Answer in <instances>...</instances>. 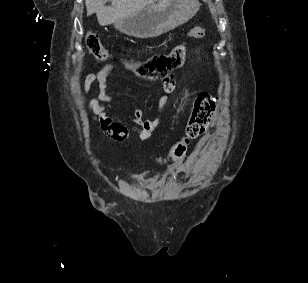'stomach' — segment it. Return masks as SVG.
I'll list each match as a JSON object with an SVG mask.
<instances>
[{
	"label": "stomach",
	"instance_id": "obj_1",
	"mask_svg": "<svg viewBox=\"0 0 308 283\" xmlns=\"http://www.w3.org/2000/svg\"><path fill=\"white\" fill-rule=\"evenodd\" d=\"M199 7L198 0H161L115 21L114 27L128 36L153 38L189 21Z\"/></svg>",
	"mask_w": 308,
	"mask_h": 283
}]
</instances>
